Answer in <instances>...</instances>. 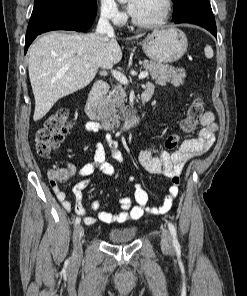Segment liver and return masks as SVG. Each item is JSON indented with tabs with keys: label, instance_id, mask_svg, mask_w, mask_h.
I'll return each instance as SVG.
<instances>
[{
	"label": "liver",
	"instance_id": "6515ba94",
	"mask_svg": "<svg viewBox=\"0 0 247 296\" xmlns=\"http://www.w3.org/2000/svg\"><path fill=\"white\" fill-rule=\"evenodd\" d=\"M121 59L113 36L50 32L38 38L28 62L35 98L33 120L42 119L59 99L86 87L99 68L110 69Z\"/></svg>",
	"mask_w": 247,
	"mask_h": 296
}]
</instances>
